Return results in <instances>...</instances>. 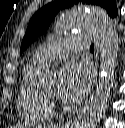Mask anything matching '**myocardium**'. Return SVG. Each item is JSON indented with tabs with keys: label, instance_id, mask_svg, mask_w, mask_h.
<instances>
[{
	"label": "myocardium",
	"instance_id": "f54148a6",
	"mask_svg": "<svg viewBox=\"0 0 125 128\" xmlns=\"http://www.w3.org/2000/svg\"><path fill=\"white\" fill-rule=\"evenodd\" d=\"M43 94H44L45 98H46L50 103L55 102V97H54L53 95H49V94H47V93H45V92H43Z\"/></svg>",
	"mask_w": 125,
	"mask_h": 128
}]
</instances>
